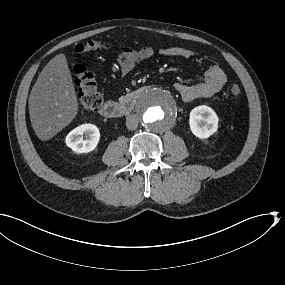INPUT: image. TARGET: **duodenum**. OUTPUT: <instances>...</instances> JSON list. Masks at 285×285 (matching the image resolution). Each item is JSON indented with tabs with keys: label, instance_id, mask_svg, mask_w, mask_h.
Here are the masks:
<instances>
[{
	"label": "duodenum",
	"instance_id": "obj_1",
	"mask_svg": "<svg viewBox=\"0 0 285 285\" xmlns=\"http://www.w3.org/2000/svg\"><path fill=\"white\" fill-rule=\"evenodd\" d=\"M145 88H138L119 101H107L100 108V114L107 119H118L130 114Z\"/></svg>",
	"mask_w": 285,
	"mask_h": 285
}]
</instances>
